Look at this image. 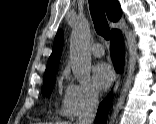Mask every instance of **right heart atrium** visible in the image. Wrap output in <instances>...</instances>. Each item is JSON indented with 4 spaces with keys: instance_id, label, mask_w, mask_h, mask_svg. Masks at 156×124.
<instances>
[{
    "instance_id": "1",
    "label": "right heart atrium",
    "mask_w": 156,
    "mask_h": 124,
    "mask_svg": "<svg viewBox=\"0 0 156 124\" xmlns=\"http://www.w3.org/2000/svg\"><path fill=\"white\" fill-rule=\"evenodd\" d=\"M67 78L66 75H64ZM98 103V92L91 84L68 80L63 96V112L69 118H77L91 112Z\"/></svg>"
}]
</instances>
